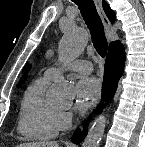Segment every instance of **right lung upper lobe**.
<instances>
[{
    "label": "right lung upper lobe",
    "mask_w": 145,
    "mask_h": 147,
    "mask_svg": "<svg viewBox=\"0 0 145 147\" xmlns=\"http://www.w3.org/2000/svg\"><path fill=\"white\" fill-rule=\"evenodd\" d=\"M103 8L108 16V18L110 19V21L114 22L115 19V14L114 12L110 9V7L108 6V4L106 2L103 1ZM24 81V78L22 79V82ZM21 85V83H20Z\"/></svg>",
    "instance_id": "obj_1"
}]
</instances>
